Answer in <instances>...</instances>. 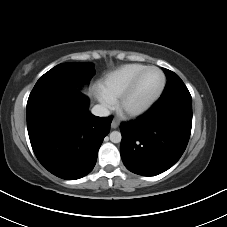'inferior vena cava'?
<instances>
[{"label": "inferior vena cava", "instance_id": "1", "mask_svg": "<svg viewBox=\"0 0 227 227\" xmlns=\"http://www.w3.org/2000/svg\"><path fill=\"white\" fill-rule=\"evenodd\" d=\"M92 114L99 117H107L110 115V111L104 105H95L92 110Z\"/></svg>", "mask_w": 227, "mask_h": 227}]
</instances>
